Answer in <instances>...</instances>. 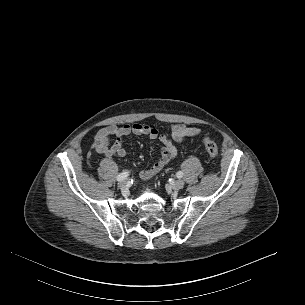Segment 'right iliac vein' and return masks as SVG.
I'll return each instance as SVG.
<instances>
[{"mask_svg": "<svg viewBox=\"0 0 305 305\" xmlns=\"http://www.w3.org/2000/svg\"><path fill=\"white\" fill-rule=\"evenodd\" d=\"M118 187L122 190V191H125L128 187V181L127 180H123V181H120L118 183Z\"/></svg>", "mask_w": 305, "mask_h": 305, "instance_id": "1", "label": "right iliac vein"}]
</instances>
